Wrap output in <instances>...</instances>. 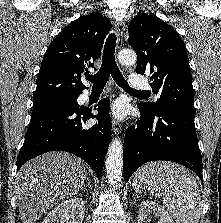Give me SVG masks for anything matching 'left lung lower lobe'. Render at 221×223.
<instances>
[{
    "label": "left lung lower lobe",
    "mask_w": 221,
    "mask_h": 223,
    "mask_svg": "<svg viewBox=\"0 0 221 223\" xmlns=\"http://www.w3.org/2000/svg\"><path fill=\"white\" fill-rule=\"evenodd\" d=\"M141 119L130 126L124 140V179L141 165L155 160L177 162L193 170L203 182L202 156L199 150L195 114L167 109L150 114L138 106Z\"/></svg>",
    "instance_id": "obj_1"
}]
</instances>
